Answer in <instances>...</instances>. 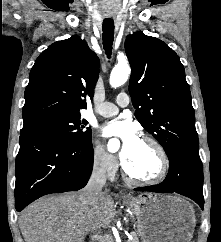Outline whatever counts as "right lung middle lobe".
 Returning a JSON list of instances; mask_svg holds the SVG:
<instances>
[{
  "label": "right lung middle lobe",
  "mask_w": 221,
  "mask_h": 242,
  "mask_svg": "<svg viewBox=\"0 0 221 242\" xmlns=\"http://www.w3.org/2000/svg\"><path fill=\"white\" fill-rule=\"evenodd\" d=\"M87 124L88 122L86 120H80V114H76L67 117L40 120L23 125L21 134L49 133L63 137L68 141L84 142L91 139V129H83Z\"/></svg>",
  "instance_id": "right-lung-middle-lobe-1"
}]
</instances>
